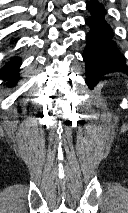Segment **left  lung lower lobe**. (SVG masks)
<instances>
[{"instance_id": "obj_1", "label": "left lung lower lobe", "mask_w": 128, "mask_h": 213, "mask_svg": "<svg viewBox=\"0 0 128 213\" xmlns=\"http://www.w3.org/2000/svg\"><path fill=\"white\" fill-rule=\"evenodd\" d=\"M86 8L92 13L86 19L90 26L87 34V46L83 52L86 62V82L92 87L94 81L109 72L127 71L125 58L121 56L116 43L112 41L113 32L104 19L106 14L102 4L97 0L90 1Z\"/></svg>"}]
</instances>
